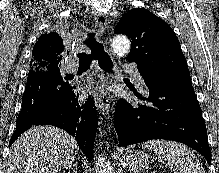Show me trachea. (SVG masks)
I'll use <instances>...</instances> for the list:
<instances>
[{
    "instance_id": "obj_1",
    "label": "trachea",
    "mask_w": 219,
    "mask_h": 173,
    "mask_svg": "<svg viewBox=\"0 0 219 173\" xmlns=\"http://www.w3.org/2000/svg\"><path fill=\"white\" fill-rule=\"evenodd\" d=\"M86 46L90 49V54L79 53V68L88 69L93 60H97L99 66L108 73H113V63L109 55L104 51L102 43L97 40L96 33L90 32L84 40Z\"/></svg>"
}]
</instances>
